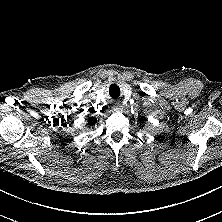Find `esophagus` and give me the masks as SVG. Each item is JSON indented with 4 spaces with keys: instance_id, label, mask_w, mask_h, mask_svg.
Listing matches in <instances>:
<instances>
[{
    "instance_id": "1",
    "label": "esophagus",
    "mask_w": 222,
    "mask_h": 222,
    "mask_svg": "<svg viewBox=\"0 0 222 222\" xmlns=\"http://www.w3.org/2000/svg\"><path fill=\"white\" fill-rule=\"evenodd\" d=\"M114 110H119L120 108H119V104H114V106L112 107Z\"/></svg>"
}]
</instances>
